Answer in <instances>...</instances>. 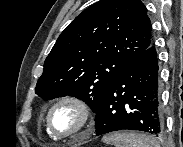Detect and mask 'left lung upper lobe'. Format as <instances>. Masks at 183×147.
<instances>
[{"label":"left lung upper lobe","mask_w":183,"mask_h":147,"mask_svg":"<svg viewBox=\"0 0 183 147\" xmlns=\"http://www.w3.org/2000/svg\"><path fill=\"white\" fill-rule=\"evenodd\" d=\"M140 0H100L60 34L44 62L36 94L44 100L75 96L95 113L118 74L152 44Z\"/></svg>","instance_id":"1"}]
</instances>
